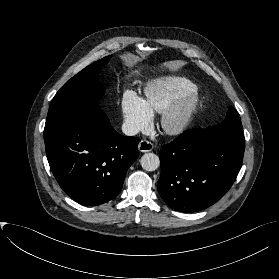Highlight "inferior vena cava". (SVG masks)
I'll use <instances>...</instances> for the list:
<instances>
[{
	"label": "inferior vena cava",
	"mask_w": 279,
	"mask_h": 279,
	"mask_svg": "<svg viewBox=\"0 0 279 279\" xmlns=\"http://www.w3.org/2000/svg\"><path fill=\"white\" fill-rule=\"evenodd\" d=\"M122 131L127 136H134L139 132V128L136 124L126 121L122 125Z\"/></svg>",
	"instance_id": "1"
}]
</instances>
